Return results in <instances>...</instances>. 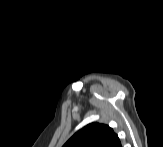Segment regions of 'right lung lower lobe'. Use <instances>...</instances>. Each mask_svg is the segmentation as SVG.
Listing matches in <instances>:
<instances>
[{
  "label": "right lung lower lobe",
  "instance_id": "right-lung-lower-lobe-1",
  "mask_svg": "<svg viewBox=\"0 0 163 147\" xmlns=\"http://www.w3.org/2000/svg\"><path fill=\"white\" fill-rule=\"evenodd\" d=\"M117 147H121V143Z\"/></svg>",
  "mask_w": 163,
  "mask_h": 147
}]
</instances>
